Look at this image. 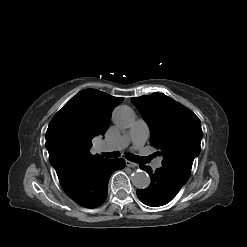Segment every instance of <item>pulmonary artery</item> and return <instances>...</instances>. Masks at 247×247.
<instances>
[{
	"label": "pulmonary artery",
	"mask_w": 247,
	"mask_h": 247,
	"mask_svg": "<svg viewBox=\"0 0 247 247\" xmlns=\"http://www.w3.org/2000/svg\"><path fill=\"white\" fill-rule=\"evenodd\" d=\"M149 126L143 119H138L128 131L127 134L121 136L114 142H109L106 147L117 150L126 147L129 143H133L136 148L144 145L149 136ZM155 168L162 167V158H158L154 163Z\"/></svg>",
	"instance_id": "1"
}]
</instances>
